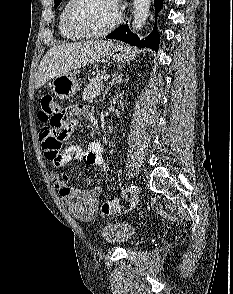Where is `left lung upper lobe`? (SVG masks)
I'll list each match as a JSON object with an SVG mask.
<instances>
[{
  "instance_id": "left-lung-upper-lobe-1",
  "label": "left lung upper lobe",
  "mask_w": 233,
  "mask_h": 294,
  "mask_svg": "<svg viewBox=\"0 0 233 294\" xmlns=\"http://www.w3.org/2000/svg\"><path fill=\"white\" fill-rule=\"evenodd\" d=\"M61 0H54L55 5H59Z\"/></svg>"
}]
</instances>
